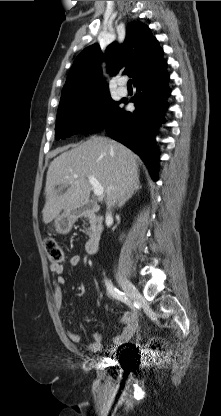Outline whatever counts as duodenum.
Masks as SVG:
<instances>
[{
    "instance_id": "obj_1",
    "label": "duodenum",
    "mask_w": 221,
    "mask_h": 416,
    "mask_svg": "<svg viewBox=\"0 0 221 416\" xmlns=\"http://www.w3.org/2000/svg\"><path fill=\"white\" fill-rule=\"evenodd\" d=\"M98 210V205L93 201L85 202L84 204L72 208L70 215L73 217H81L86 213H94ZM101 241V235L98 232H94L86 243V252L90 255L95 254L98 251Z\"/></svg>"
}]
</instances>
